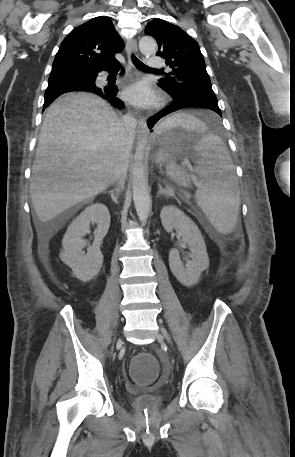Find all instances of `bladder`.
Returning <instances> with one entry per match:
<instances>
[{
	"mask_svg": "<svg viewBox=\"0 0 295 457\" xmlns=\"http://www.w3.org/2000/svg\"><path fill=\"white\" fill-rule=\"evenodd\" d=\"M158 361H165L163 366L164 374H160L157 378L160 383H168L170 380L169 375L173 373V368L170 366V363L167 361L168 354L167 352H158L157 354ZM162 394H151L145 393L137 396L135 398V410L136 411H157V406H159L163 400Z\"/></svg>",
	"mask_w": 295,
	"mask_h": 457,
	"instance_id": "obj_1",
	"label": "bladder"
}]
</instances>
